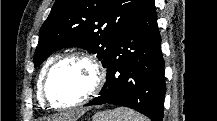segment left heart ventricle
I'll list each match as a JSON object with an SVG mask.
<instances>
[{"label":"left heart ventricle","mask_w":217,"mask_h":121,"mask_svg":"<svg viewBox=\"0 0 217 121\" xmlns=\"http://www.w3.org/2000/svg\"><path fill=\"white\" fill-rule=\"evenodd\" d=\"M95 72L90 63L74 59L60 65L54 72L49 94L58 105H69L83 98L92 88Z\"/></svg>","instance_id":"b2bd125f"}]
</instances>
